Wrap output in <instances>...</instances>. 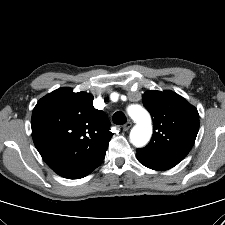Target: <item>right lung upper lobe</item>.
I'll return each mask as SVG.
<instances>
[{"instance_id":"right-lung-upper-lobe-1","label":"right lung upper lobe","mask_w":225,"mask_h":225,"mask_svg":"<svg viewBox=\"0 0 225 225\" xmlns=\"http://www.w3.org/2000/svg\"><path fill=\"white\" fill-rule=\"evenodd\" d=\"M90 93L59 88L36 104L31 119L34 144L58 175L79 179L96 169L113 136L103 111Z\"/></svg>"}]
</instances>
